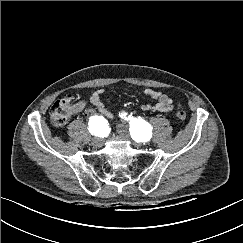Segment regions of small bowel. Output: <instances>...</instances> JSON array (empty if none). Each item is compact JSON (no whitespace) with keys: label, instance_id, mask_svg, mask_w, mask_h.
<instances>
[{"label":"small bowel","instance_id":"1","mask_svg":"<svg viewBox=\"0 0 243 243\" xmlns=\"http://www.w3.org/2000/svg\"><path fill=\"white\" fill-rule=\"evenodd\" d=\"M144 93L146 96L156 100V103H143L141 105V109L143 111H161V112H168L171 111L174 108L173 100L170 99L165 93L152 89V88H146L144 90ZM103 94L104 90L99 89L95 91L91 97L90 102L91 104L96 108V110L103 116L107 118H112L113 114L107 109L103 102ZM86 106L85 101H79L74 105L73 111L79 112L82 111Z\"/></svg>","mask_w":243,"mask_h":243}]
</instances>
